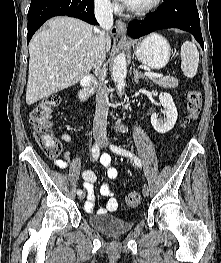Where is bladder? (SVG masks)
<instances>
[{
	"label": "bladder",
	"instance_id": "1",
	"mask_svg": "<svg viewBox=\"0 0 221 263\" xmlns=\"http://www.w3.org/2000/svg\"><path fill=\"white\" fill-rule=\"evenodd\" d=\"M88 223L94 230L110 237H117L131 231L133 220H124L112 214L91 215Z\"/></svg>",
	"mask_w": 221,
	"mask_h": 263
}]
</instances>
